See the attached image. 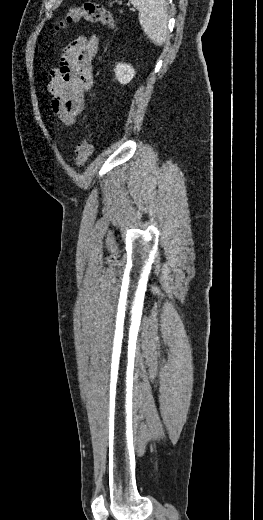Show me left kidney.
<instances>
[{"label":"left kidney","instance_id":"5707ae66","mask_svg":"<svg viewBox=\"0 0 263 520\" xmlns=\"http://www.w3.org/2000/svg\"><path fill=\"white\" fill-rule=\"evenodd\" d=\"M115 77L121 84L129 83L135 76V70L131 65L118 63L114 69Z\"/></svg>","mask_w":263,"mask_h":520}]
</instances>
